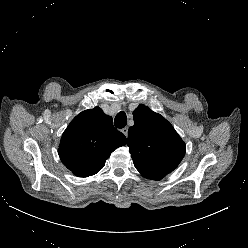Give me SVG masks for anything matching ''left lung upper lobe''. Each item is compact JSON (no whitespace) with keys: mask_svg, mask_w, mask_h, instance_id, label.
<instances>
[{"mask_svg":"<svg viewBox=\"0 0 248 248\" xmlns=\"http://www.w3.org/2000/svg\"><path fill=\"white\" fill-rule=\"evenodd\" d=\"M128 131V146L134 166L142 176L161 180L179 165L185 143L160 114L141 104L134 111Z\"/></svg>","mask_w":248,"mask_h":248,"instance_id":"left-lung-upper-lobe-1","label":"left lung upper lobe"}]
</instances>
